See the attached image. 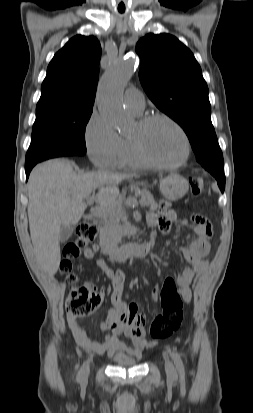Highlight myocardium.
I'll use <instances>...</instances> for the list:
<instances>
[{
    "mask_svg": "<svg viewBox=\"0 0 253 413\" xmlns=\"http://www.w3.org/2000/svg\"><path fill=\"white\" fill-rule=\"evenodd\" d=\"M159 120H163L168 122L169 124H171L182 136L183 141H184V154L182 156V158L180 160H178L177 162L174 163H161L158 162L154 159H152L148 153L146 152L144 145L142 143V140L139 137H132V142L135 148V151L138 155V157L142 160V162L149 166V167H153V168H157V169H164V170H168V169H175L178 168L182 165H184L191 154V142L189 139V136L187 135L186 131L184 130V128L176 121L174 120L172 117L166 115V114H151L148 116H145L143 118L140 119L138 126L144 130L147 127H149L152 123L159 121Z\"/></svg>",
    "mask_w": 253,
    "mask_h": 413,
    "instance_id": "1",
    "label": "myocardium"
}]
</instances>
